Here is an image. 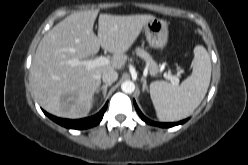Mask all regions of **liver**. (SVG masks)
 <instances>
[{"mask_svg": "<svg viewBox=\"0 0 248 165\" xmlns=\"http://www.w3.org/2000/svg\"><path fill=\"white\" fill-rule=\"evenodd\" d=\"M98 10L79 11L56 24L41 39L30 69L32 93L47 112L65 118L85 117L92 108L101 76L121 69L144 26L153 15L100 14L98 35L93 32ZM100 47L113 54L110 63L88 70L73 61H83Z\"/></svg>", "mask_w": 248, "mask_h": 165, "instance_id": "obj_1", "label": "liver"}]
</instances>
